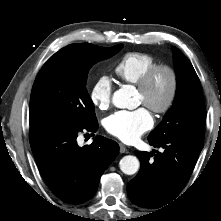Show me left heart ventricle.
<instances>
[{
  "mask_svg": "<svg viewBox=\"0 0 221 221\" xmlns=\"http://www.w3.org/2000/svg\"><path fill=\"white\" fill-rule=\"evenodd\" d=\"M169 86L170 79L168 74L164 72L159 73L145 95H142L138 91V100L140 103H143L144 100H146L153 106H160L167 98Z\"/></svg>",
  "mask_w": 221,
  "mask_h": 221,
  "instance_id": "1",
  "label": "left heart ventricle"
}]
</instances>
